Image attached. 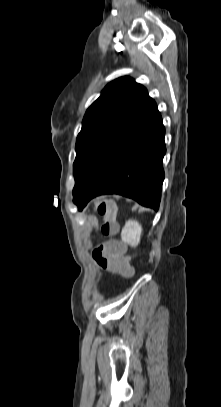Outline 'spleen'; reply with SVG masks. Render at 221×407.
<instances>
[{"instance_id": "1", "label": "spleen", "mask_w": 221, "mask_h": 407, "mask_svg": "<svg viewBox=\"0 0 221 407\" xmlns=\"http://www.w3.org/2000/svg\"><path fill=\"white\" fill-rule=\"evenodd\" d=\"M142 226L136 220H128L121 232V238L132 247H136L141 239Z\"/></svg>"}]
</instances>
